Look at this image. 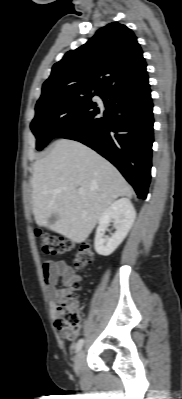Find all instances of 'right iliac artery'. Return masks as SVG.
I'll return each instance as SVG.
<instances>
[{"label":"right iliac artery","instance_id":"right-iliac-artery-1","mask_svg":"<svg viewBox=\"0 0 182 399\" xmlns=\"http://www.w3.org/2000/svg\"><path fill=\"white\" fill-rule=\"evenodd\" d=\"M84 340L80 339L76 344V351H79L83 346Z\"/></svg>","mask_w":182,"mask_h":399}]
</instances>
